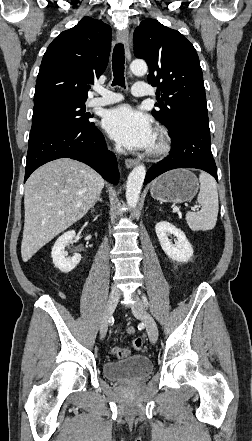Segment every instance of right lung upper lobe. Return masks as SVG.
Returning a JSON list of instances; mask_svg holds the SVG:
<instances>
[{
	"instance_id": "obj_1",
	"label": "right lung upper lobe",
	"mask_w": 252,
	"mask_h": 441,
	"mask_svg": "<svg viewBox=\"0 0 252 441\" xmlns=\"http://www.w3.org/2000/svg\"><path fill=\"white\" fill-rule=\"evenodd\" d=\"M111 49V28L82 18L48 46L40 66L34 104L53 99L86 101L90 83L104 72Z\"/></svg>"
}]
</instances>
